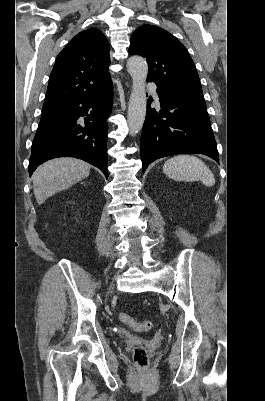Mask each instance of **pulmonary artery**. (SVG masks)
Wrapping results in <instances>:
<instances>
[{
	"mask_svg": "<svg viewBox=\"0 0 265 401\" xmlns=\"http://www.w3.org/2000/svg\"><path fill=\"white\" fill-rule=\"evenodd\" d=\"M145 88H152V83H145ZM156 96V100L158 101V97Z\"/></svg>",
	"mask_w": 265,
	"mask_h": 401,
	"instance_id": "obj_1",
	"label": "pulmonary artery"
}]
</instances>
